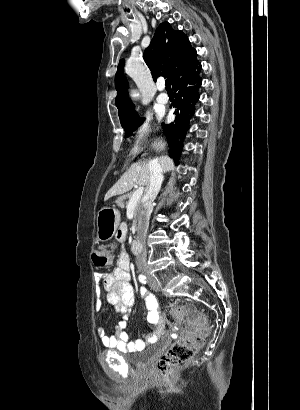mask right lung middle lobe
Instances as JSON below:
<instances>
[{
	"mask_svg": "<svg viewBox=\"0 0 300 410\" xmlns=\"http://www.w3.org/2000/svg\"><path fill=\"white\" fill-rule=\"evenodd\" d=\"M143 118H139L137 115L132 119H129L123 123L121 126L125 128L126 135L128 136L131 132L135 131L138 126L143 123Z\"/></svg>",
	"mask_w": 300,
	"mask_h": 410,
	"instance_id": "right-lung-middle-lobe-1",
	"label": "right lung middle lobe"
}]
</instances>
